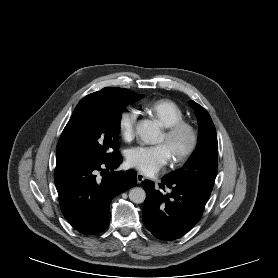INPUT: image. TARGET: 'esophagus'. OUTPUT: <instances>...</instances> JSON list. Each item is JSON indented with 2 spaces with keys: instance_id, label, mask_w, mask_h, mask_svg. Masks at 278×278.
<instances>
[{
  "instance_id": "34e87169",
  "label": "esophagus",
  "mask_w": 278,
  "mask_h": 278,
  "mask_svg": "<svg viewBox=\"0 0 278 278\" xmlns=\"http://www.w3.org/2000/svg\"><path fill=\"white\" fill-rule=\"evenodd\" d=\"M145 179L144 175L142 173L137 174V183L141 184L143 180Z\"/></svg>"
}]
</instances>
